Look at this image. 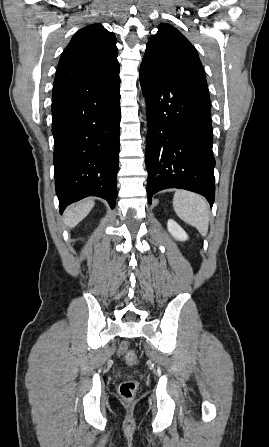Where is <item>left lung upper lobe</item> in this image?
Returning a JSON list of instances; mask_svg holds the SVG:
<instances>
[{
    "label": "left lung upper lobe",
    "mask_w": 269,
    "mask_h": 447,
    "mask_svg": "<svg viewBox=\"0 0 269 447\" xmlns=\"http://www.w3.org/2000/svg\"><path fill=\"white\" fill-rule=\"evenodd\" d=\"M143 61L167 73L193 81L208 91L206 77L195 48L176 28L160 24L146 46Z\"/></svg>",
    "instance_id": "obj_1"
}]
</instances>
